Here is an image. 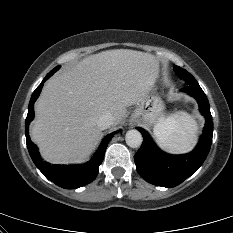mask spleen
<instances>
[{
	"label": "spleen",
	"instance_id": "1",
	"mask_svg": "<svg viewBox=\"0 0 233 233\" xmlns=\"http://www.w3.org/2000/svg\"><path fill=\"white\" fill-rule=\"evenodd\" d=\"M198 126L185 112H177L160 119L154 126V135L159 146L170 153H185L196 142Z\"/></svg>",
	"mask_w": 233,
	"mask_h": 233
}]
</instances>
